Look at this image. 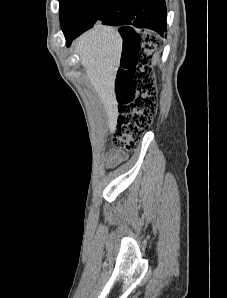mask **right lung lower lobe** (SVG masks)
Returning <instances> with one entry per match:
<instances>
[{
	"label": "right lung lower lobe",
	"instance_id": "98d812e1",
	"mask_svg": "<svg viewBox=\"0 0 227 298\" xmlns=\"http://www.w3.org/2000/svg\"><path fill=\"white\" fill-rule=\"evenodd\" d=\"M165 0H106L93 12L76 31L65 34L66 45L84 31L100 21L105 25L119 26L124 39L121 66H123L124 49L128 36H135L134 28H147L164 36L166 31Z\"/></svg>",
	"mask_w": 227,
	"mask_h": 298
}]
</instances>
